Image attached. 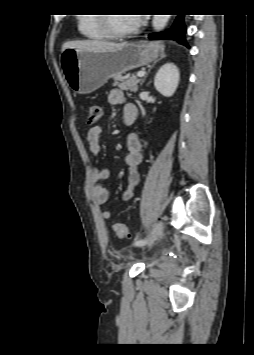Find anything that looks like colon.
<instances>
[{
    "mask_svg": "<svg viewBox=\"0 0 254 355\" xmlns=\"http://www.w3.org/2000/svg\"><path fill=\"white\" fill-rule=\"evenodd\" d=\"M102 109L99 105H90L87 107V123L95 124L101 117ZM114 232L118 238H127L130 235L129 228L126 224L116 223Z\"/></svg>",
    "mask_w": 254,
    "mask_h": 355,
    "instance_id": "5ec220e1",
    "label": "colon"
}]
</instances>
